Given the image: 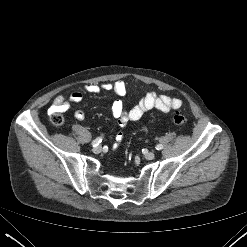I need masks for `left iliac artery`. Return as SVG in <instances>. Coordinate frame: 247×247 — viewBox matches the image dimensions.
Returning a JSON list of instances; mask_svg holds the SVG:
<instances>
[{
  "label": "left iliac artery",
  "mask_w": 247,
  "mask_h": 247,
  "mask_svg": "<svg viewBox=\"0 0 247 247\" xmlns=\"http://www.w3.org/2000/svg\"><path fill=\"white\" fill-rule=\"evenodd\" d=\"M156 149H157V150H161V149H163V145L158 144V145L156 146Z\"/></svg>",
  "instance_id": "1"
}]
</instances>
